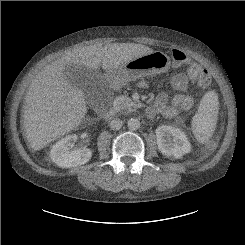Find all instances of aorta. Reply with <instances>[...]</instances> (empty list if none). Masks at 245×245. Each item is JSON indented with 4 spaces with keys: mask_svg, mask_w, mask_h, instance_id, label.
<instances>
[{
    "mask_svg": "<svg viewBox=\"0 0 245 245\" xmlns=\"http://www.w3.org/2000/svg\"><path fill=\"white\" fill-rule=\"evenodd\" d=\"M127 126L130 130H137L140 127V122L136 118H130L127 121Z\"/></svg>",
    "mask_w": 245,
    "mask_h": 245,
    "instance_id": "762f6f07",
    "label": "aorta"
}]
</instances>
